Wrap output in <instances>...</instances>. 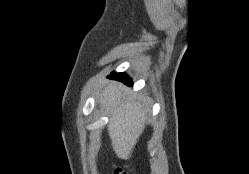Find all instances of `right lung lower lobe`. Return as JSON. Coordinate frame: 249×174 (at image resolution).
<instances>
[{
	"label": "right lung lower lobe",
	"mask_w": 249,
	"mask_h": 174,
	"mask_svg": "<svg viewBox=\"0 0 249 174\" xmlns=\"http://www.w3.org/2000/svg\"><path fill=\"white\" fill-rule=\"evenodd\" d=\"M109 78L111 79H116V80H119V81H122L124 82L125 84H127L128 86H132V81L131 79L129 78V76L125 73H115L113 72Z\"/></svg>",
	"instance_id": "1"
}]
</instances>
